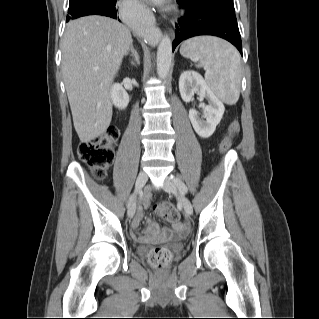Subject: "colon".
<instances>
[{
    "mask_svg": "<svg viewBox=\"0 0 319 319\" xmlns=\"http://www.w3.org/2000/svg\"><path fill=\"white\" fill-rule=\"evenodd\" d=\"M240 130L237 120H233L228 128V133L221 141L220 151H226L232 145ZM119 136L116 127H108L100 136L88 142H82L78 146V156L91 168L92 173L98 179H102L105 169L109 167L114 159V145ZM158 217L167 221H176L179 218L178 211L170 202H164L155 206ZM172 260V252L164 247L152 248L148 253V262L153 267L163 270Z\"/></svg>",
    "mask_w": 319,
    "mask_h": 319,
    "instance_id": "5ec220e1",
    "label": "colon"
}]
</instances>
